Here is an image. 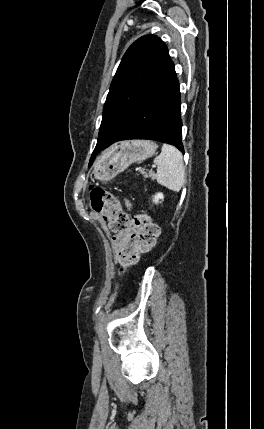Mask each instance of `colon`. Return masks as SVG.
<instances>
[{
  "label": "colon",
  "mask_w": 264,
  "mask_h": 429,
  "mask_svg": "<svg viewBox=\"0 0 264 429\" xmlns=\"http://www.w3.org/2000/svg\"><path fill=\"white\" fill-rule=\"evenodd\" d=\"M92 209L103 215L113 233L132 231V239L118 251V261L122 273L136 265L141 254L149 252L155 245L159 229L144 213L129 216L120 205L118 198L100 187L90 189Z\"/></svg>",
  "instance_id": "5ec220e1"
}]
</instances>
